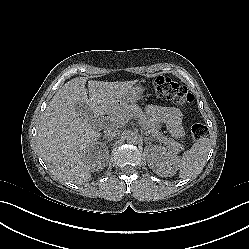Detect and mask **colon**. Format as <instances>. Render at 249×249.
Returning a JSON list of instances; mask_svg holds the SVG:
<instances>
[{
  "label": "colon",
  "mask_w": 249,
  "mask_h": 249,
  "mask_svg": "<svg viewBox=\"0 0 249 249\" xmlns=\"http://www.w3.org/2000/svg\"><path fill=\"white\" fill-rule=\"evenodd\" d=\"M153 88L172 102L186 106L194 101V95L181 83L167 77H158L153 81ZM207 130L203 125L195 124L191 129L193 139L206 136Z\"/></svg>",
  "instance_id": "colon-1"
}]
</instances>
